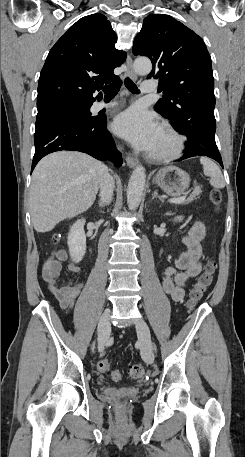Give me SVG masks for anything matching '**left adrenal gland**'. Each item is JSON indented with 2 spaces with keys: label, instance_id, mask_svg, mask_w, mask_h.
<instances>
[{
  "label": "left adrenal gland",
  "instance_id": "1",
  "mask_svg": "<svg viewBox=\"0 0 245 457\" xmlns=\"http://www.w3.org/2000/svg\"><path fill=\"white\" fill-rule=\"evenodd\" d=\"M155 196H158L159 200H163L162 196H160V194H158V190H154V194H153L152 198H155Z\"/></svg>",
  "mask_w": 245,
  "mask_h": 457
}]
</instances>
